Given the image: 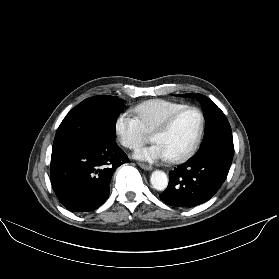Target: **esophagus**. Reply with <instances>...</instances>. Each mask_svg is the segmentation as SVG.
I'll list each match as a JSON object with an SVG mask.
<instances>
[{"mask_svg": "<svg viewBox=\"0 0 279 279\" xmlns=\"http://www.w3.org/2000/svg\"><path fill=\"white\" fill-rule=\"evenodd\" d=\"M138 165L144 169V170H147V171H150L153 169V167L151 165H148V164H144V163H138Z\"/></svg>", "mask_w": 279, "mask_h": 279, "instance_id": "1", "label": "esophagus"}]
</instances>
